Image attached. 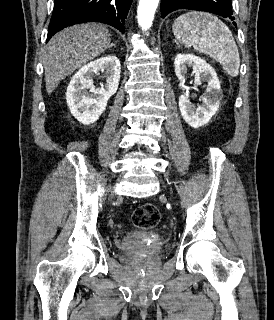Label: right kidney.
<instances>
[{
	"label": "right kidney",
	"mask_w": 274,
	"mask_h": 320,
	"mask_svg": "<svg viewBox=\"0 0 274 320\" xmlns=\"http://www.w3.org/2000/svg\"><path fill=\"white\" fill-rule=\"evenodd\" d=\"M103 72L106 84L102 88H96L93 84V76ZM121 64L120 60L107 54L104 58H98L82 66L73 78L66 92L67 106L74 118L89 126L99 120L101 114L106 110L107 102L118 90L120 82ZM89 90V92H88Z\"/></svg>",
	"instance_id": "right-kidney-1"
}]
</instances>
